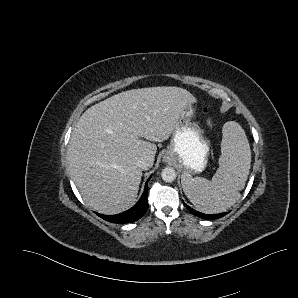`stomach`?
<instances>
[{
	"mask_svg": "<svg viewBox=\"0 0 298 298\" xmlns=\"http://www.w3.org/2000/svg\"><path fill=\"white\" fill-rule=\"evenodd\" d=\"M194 116L195 109L192 105L182 109L170 143L162 155L163 163L177 166L183 171V187H185L184 173H202L207 167L210 156V143L199 124L193 121Z\"/></svg>",
	"mask_w": 298,
	"mask_h": 298,
	"instance_id": "1",
	"label": "stomach"
}]
</instances>
